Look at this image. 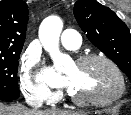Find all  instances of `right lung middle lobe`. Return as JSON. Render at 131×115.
Segmentation results:
<instances>
[{
    "label": "right lung middle lobe",
    "instance_id": "1",
    "mask_svg": "<svg viewBox=\"0 0 131 115\" xmlns=\"http://www.w3.org/2000/svg\"><path fill=\"white\" fill-rule=\"evenodd\" d=\"M21 52L0 54V99L19 98L18 59Z\"/></svg>",
    "mask_w": 131,
    "mask_h": 115
}]
</instances>
